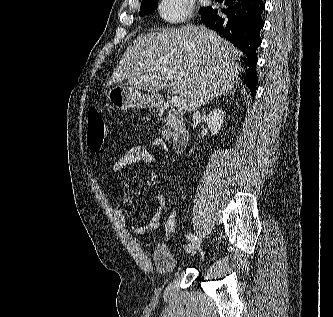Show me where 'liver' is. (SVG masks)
Returning <instances> with one entry per match:
<instances>
[{
	"label": "liver",
	"mask_w": 333,
	"mask_h": 317,
	"mask_svg": "<svg viewBox=\"0 0 333 317\" xmlns=\"http://www.w3.org/2000/svg\"><path fill=\"white\" fill-rule=\"evenodd\" d=\"M241 53L204 27L182 26L137 37L126 49L109 84H127L148 92L161 91L170 81L181 97V110L193 112L234 89Z\"/></svg>",
	"instance_id": "liver-1"
}]
</instances>
